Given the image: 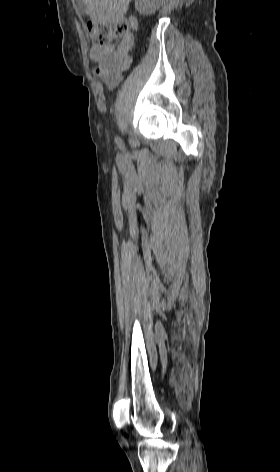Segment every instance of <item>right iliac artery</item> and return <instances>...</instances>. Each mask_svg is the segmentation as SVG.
I'll list each match as a JSON object with an SVG mask.
<instances>
[{"mask_svg":"<svg viewBox=\"0 0 280 472\" xmlns=\"http://www.w3.org/2000/svg\"><path fill=\"white\" fill-rule=\"evenodd\" d=\"M115 141H116L117 145H118L120 148L123 147V143H122V141H121L120 138L116 137V138H115Z\"/></svg>","mask_w":280,"mask_h":472,"instance_id":"right-iliac-artery-1","label":"right iliac artery"}]
</instances>
